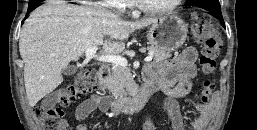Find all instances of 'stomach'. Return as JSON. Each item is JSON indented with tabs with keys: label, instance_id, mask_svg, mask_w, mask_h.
Instances as JSON below:
<instances>
[{
	"label": "stomach",
	"instance_id": "0dacf381",
	"mask_svg": "<svg viewBox=\"0 0 257 130\" xmlns=\"http://www.w3.org/2000/svg\"><path fill=\"white\" fill-rule=\"evenodd\" d=\"M188 27L176 14H167L157 19L147 31L149 42L155 47L175 50L185 42Z\"/></svg>",
	"mask_w": 257,
	"mask_h": 130
}]
</instances>
